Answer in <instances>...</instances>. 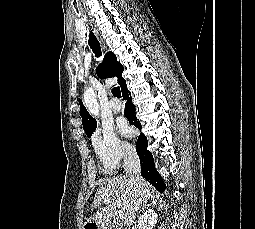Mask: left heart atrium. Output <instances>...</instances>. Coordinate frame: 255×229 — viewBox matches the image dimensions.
Masks as SVG:
<instances>
[{"instance_id":"left-heart-atrium-1","label":"left heart atrium","mask_w":255,"mask_h":229,"mask_svg":"<svg viewBox=\"0 0 255 229\" xmlns=\"http://www.w3.org/2000/svg\"><path fill=\"white\" fill-rule=\"evenodd\" d=\"M120 131L122 134L128 136L130 135L131 131L130 128L128 127V125L125 122L120 123L119 125Z\"/></svg>"}]
</instances>
